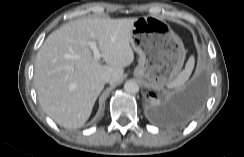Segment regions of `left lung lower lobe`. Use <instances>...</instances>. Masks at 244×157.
I'll return each mask as SVG.
<instances>
[{
  "label": "left lung lower lobe",
  "instance_id": "1",
  "mask_svg": "<svg viewBox=\"0 0 244 157\" xmlns=\"http://www.w3.org/2000/svg\"><path fill=\"white\" fill-rule=\"evenodd\" d=\"M206 94V81L204 77L192 82L176 98L173 108L163 113L164 122L185 123L189 121L203 105ZM156 95L150 93V98Z\"/></svg>",
  "mask_w": 244,
  "mask_h": 157
}]
</instances>
